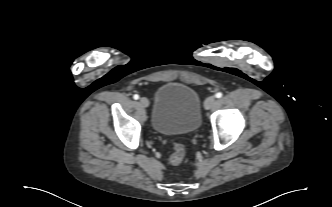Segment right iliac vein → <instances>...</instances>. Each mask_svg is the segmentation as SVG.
<instances>
[{
  "mask_svg": "<svg viewBox=\"0 0 332 207\" xmlns=\"http://www.w3.org/2000/svg\"><path fill=\"white\" fill-rule=\"evenodd\" d=\"M140 104H141L143 107H148V106H149V101H148L147 98L142 97V98H140Z\"/></svg>",
  "mask_w": 332,
  "mask_h": 207,
  "instance_id": "63e3f726",
  "label": "right iliac vein"
}]
</instances>
